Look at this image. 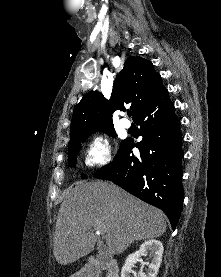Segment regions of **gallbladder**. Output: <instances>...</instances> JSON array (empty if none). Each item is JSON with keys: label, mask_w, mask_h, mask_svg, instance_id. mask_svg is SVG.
<instances>
[{"label": "gallbladder", "mask_w": 221, "mask_h": 277, "mask_svg": "<svg viewBox=\"0 0 221 277\" xmlns=\"http://www.w3.org/2000/svg\"><path fill=\"white\" fill-rule=\"evenodd\" d=\"M100 258H103L102 256H100ZM104 259H108L107 257H105Z\"/></svg>", "instance_id": "bac80fb5"}]
</instances>
